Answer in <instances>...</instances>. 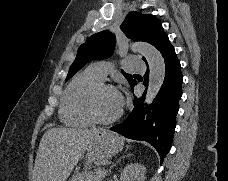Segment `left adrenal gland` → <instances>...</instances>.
Here are the masks:
<instances>
[{
  "label": "left adrenal gland",
  "instance_id": "a2214340",
  "mask_svg": "<svg viewBox=\"0 0 228 181\" xmlns=\"http://www.w3.org/2000/svg\"><path fill=\"white\" fill-rule=\"evenodd\" d=\"M121 159H125V157H121ZM121 159H119V161H116V163H114V165H112V167H116L117 163H120ZM112 167H110V169H108L106 175H110Z\"/></svg>",
  "mask_w": 228,
  "mask_h": 181
}]
</instances>
